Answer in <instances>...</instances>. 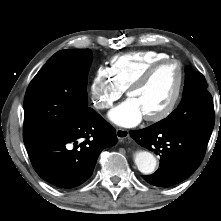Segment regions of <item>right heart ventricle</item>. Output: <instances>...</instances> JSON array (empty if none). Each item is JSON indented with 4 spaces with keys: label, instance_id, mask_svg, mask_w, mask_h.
<instances>
[{
    "label": "right heart ventricle",
    "instance_id": "1",
    "mask_svg": "<svg viewBox=\"0 0 221 221\" xmlns=\"http://www.w3.org/2000/svg\"><path fill=\"white\" fill-rule=\"evenodd\" d=\"M168 58L167 53L155 50L124 53L113 56L108 69L115 81L126 90L150 65Z\"/></svg>",
    "mask_w": 221,
    "mask_h": 221
}]
</instances>
